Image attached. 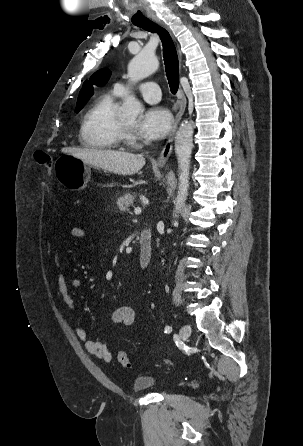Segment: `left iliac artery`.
Here are the masks:
<instances>
[{"instance_id":"obj_1","label":"left iliac artery","mask_w":303,"mask_h":446,"mask_svg":"<svg viewBox=\"0 0 303 446\" xmlns=\"http://www.w3.org/2000/svg\"><path fill=\"white\" fill-rule=\"evenodd\" d=\"M172 331V327L171 326H166L164 329L165 333H170Z\"/></svg>"}]
</instances>
